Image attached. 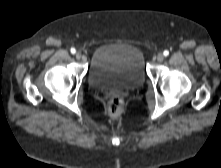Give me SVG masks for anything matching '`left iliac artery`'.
<instances>
[{
    "mask_svg": "<svg viewBox=\"0 0 221 168\" xmlns=\"http://www.w3.org/2000/svg\"><path fill=\"white\" fill-rule=\"evenodd\" d=\"M163 54H164V56H168V55H169V51H168V50H165V51L163 52Z\"/></svg>",
    "mask_w": 221,
    "mask_h": 168,
    "instance_id": "left-iliac-artery-1",
    "label": "left iliac artery"
}]
</instances>
